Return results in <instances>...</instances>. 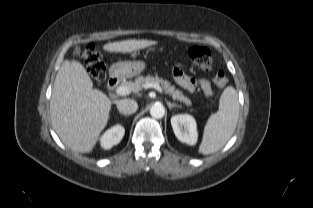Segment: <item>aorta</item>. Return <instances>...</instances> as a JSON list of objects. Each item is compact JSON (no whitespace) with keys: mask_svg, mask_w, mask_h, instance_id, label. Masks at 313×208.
I'll return each instance as SVG.
<instances>
[{"mask_svg":"<svg viewBox=\"0 0 313 208\" xmlns=\"http://www.w3.org/2000/svg\"><path fill=\"white\" fill-rule=\"evenodd\" d=\"M150 114L152 117L160 119L165 114V108L162 104L156 103L151 107Z\"/></svg>","mask_w":313,"mask_h":208,"instance_id":"obj_1","label":"aorta"}]
</instances>
